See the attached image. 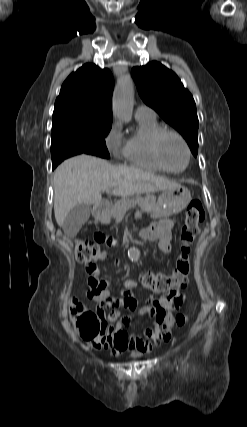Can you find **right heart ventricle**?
Masks as SVG:
<instances>
[{"label":"right heart ventricle","instance_id":"1","mask_svg":"<svg viewBox=\"0 0 247 427\" xmlns=\"http://www.w3.org/2000/svg\"><path fill=\"white\" fill-rule=\"evenodd\" d=\"M133 133L126 139L122 154L135 166L155 172H165L154 157L152 143L155 135L163 129L155 116L137 117Z\"/></svg>","mask_w":247,"mask_h":427}]
</instances>
